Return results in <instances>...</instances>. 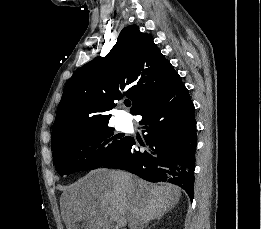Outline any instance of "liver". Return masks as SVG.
Returning a JSON list of instances; mask_svg holds the SVG:
<instances>
[{"instance_id":"liver-1","label":"liver","mask_w":261,"mask_h":229,"mask_svg":"<svg viewBox=\"0 0 261 229\" xmlns=\"http://www.w3.org/2000/svg\"><path fill=\"white\" fill-rule=\"evenodd\" d=\"M176 185H152L131 173L96 169L68 187L64 215L69 229H111V223L125 219L129 229H144L161 219L179 203Z\"/></svg>"}]
</instances>
